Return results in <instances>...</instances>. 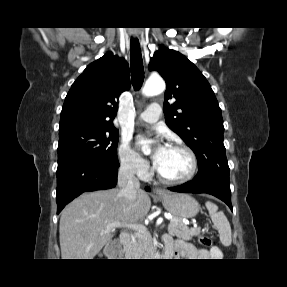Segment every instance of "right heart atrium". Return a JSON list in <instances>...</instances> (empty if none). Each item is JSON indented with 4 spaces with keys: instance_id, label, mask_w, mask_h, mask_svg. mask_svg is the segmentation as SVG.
I'll list each match as a JSON object with an SVG mask.
<instances>
[{
    "instance_id": "d8ad5b80",
    "label": "right heart atrium",
    "mask_w": 287,
    "mask_h": 287,
    "mask_svg": "<svg viewBox=\"0 0 287 287\" xmlns=\"http://www.w3.org/2000/svg\"><path fill=\"white\" fill-rule=\"evenodd\" d=\"M118 156L121 166L128 172L145 179L150 175V165L129 144L123 140L118 148Z\"/></svg>"
}]
</instances>
